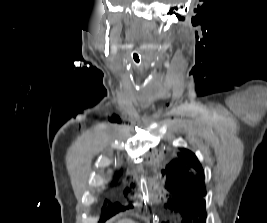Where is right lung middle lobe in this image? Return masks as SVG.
Instances as JSON below:
<instances>
[{
    "mask_svg": "<svg viewBox=\"0 0 267 223\" xmlns=\"http://www.w3.org/2000/svg\"><path fill=\"white\" fill-rule=\"evenodd\" d=\"M106 203L107 202L105 201V204ZM120 210H124V208L121 207L118 203H116L114 205L110 204L109 205V210L106 211V210L103 209L102 211H103V214H104V218H106V217H110L111 215L115 214L116 212H118Z\"/></svg>",
    "mask_w": 267,
    "mask_h": 223,
    "instance_id": "1",
    "label": "right lung middle lobe"
}]
</instances>
